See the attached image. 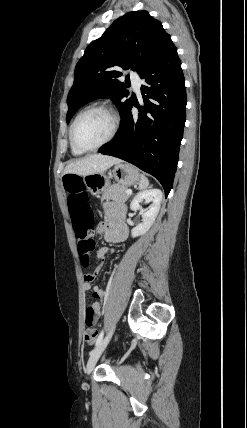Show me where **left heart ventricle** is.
I'll return each instance as SVG.
<instances>
[{"mask_svg":"<svg viewBox=\"0 0 247 428\" xmlns=\"http://www.w3.org/2000/svg\"><path fill=\"white\" fill-rule=\"evenodd\" d=\"M111 119L103 111H90L80 117L76 123L74 137L83 147H92L101 143L110 133Z\"/></svg>","mask_w":247,"mask_h":428,"instance_id":"1","label":"left heart ventricle"}]
</instances>
